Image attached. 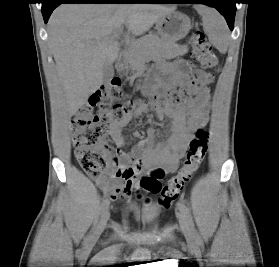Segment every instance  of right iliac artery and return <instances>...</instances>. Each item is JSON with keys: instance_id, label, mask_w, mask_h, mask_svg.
Returning <instances> with one entry per match:
<instances>
[{"instance_id": "obj_1", "label": "right iliac artery", "mask_w": 279, "mask_h": 267, "mask_svg": "<svg viewBox=\"0 0 279 267\" xmlns=\"http://www.w3.org/2000/svg\"><path fill=\"white\" fill-rule=\"evenodd\" d=\"M109 204H110L109 199H104V200H103V202H102V204H101V206H100V208H99L98 216L101 215L102 213H104V212L106 211V209L108 208ZM98 216H97V217H98ZM97 219H98V218H96V221H97ZM90 238H91V236L89 235V236H88V239H90Z\"/></svg>"}]
</instances>
